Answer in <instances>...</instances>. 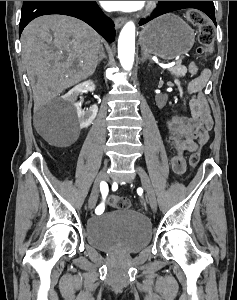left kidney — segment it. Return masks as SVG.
Wrapping results in <instances>:
<instances>
[{"instance_id": "1", "label": "left kidney", "mask_w": 237, "mask_h": 300, "mask_svg": "<svg viewBox=\"0 0 237 300\" xmlns=\"http://www.w3.org/2000/svg\"><path fill=\"white\" fill-rule=\"evenodd\" d=\"M175 83H176V85H177V87H178V91H179V93H180V97H182L183 91H182V89H181V87H180V83H179L178 79H175Z\"/></svg>"}]
</instances>
